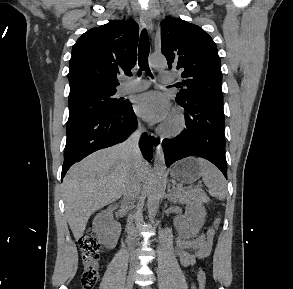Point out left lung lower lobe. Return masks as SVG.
Segmentation results:
<instances>
[{
	"instance_id": "left-lung-lower-lobe-1",
	"label": "left lung lower lobe",
	"mask_w": 293,
	"mask_h": 289,
	"mask_svg": "<svg viewBox=\"0 0 293 289\" xmlns=\"http://www.w3.org/2000/svg\"><path fill=\"white\" fill-rule=\"evenodd\" d=\"M185 110L186 129L162 142L166 165L188 156L212 162L227 178L223 104L206 99L179 103Z\"/></svg>"
}]
</instances>
